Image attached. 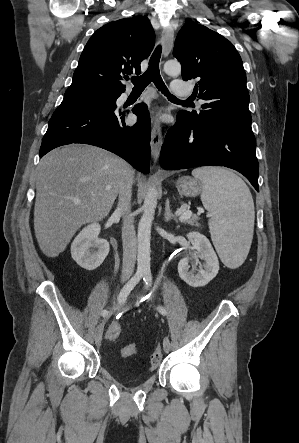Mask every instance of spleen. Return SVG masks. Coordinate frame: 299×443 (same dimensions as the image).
I'll list each match as a JSON object with an SVG mask.
<instances>
[{
  "label": "spleen",
  "mask_w": 299,
  "mask_h": 443,
  "mask_svg": "<svg viewBox=\"0 0 299 443\" xmlns=\"http://www.w3.org/2000/svg\"><path fill=\"white\" fill-rule=\"evenodd\" d=\"M202 183L201 200L212 214L209 229L223 263L235 269L246 259L254 230V203L244 181L232 171L202 167L192 171Z\"/></svg>",
  "instance_id": "spleen-1"
}]
</instances>
